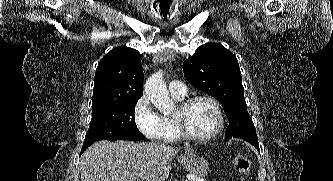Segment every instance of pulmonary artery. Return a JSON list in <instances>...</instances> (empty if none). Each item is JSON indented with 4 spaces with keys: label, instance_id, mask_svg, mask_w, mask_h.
<instances>
[{
    "label": "pulmonary artery",
    "instance_id": "obj_1",
    "mask_svg": "<svg viewBox=\"0 0 333 181\" xmlns=\"http://www.w3.org/2000/svg\"><path fill=\"white\" fill-rule=\"evenodd\" d=\"M169 91L172 96L184 97L187 93V87L183 82L174 80L169 85Z\"/></svg>",
    "mask_w": 333,
    "mask_h": 181
}]
</instances>
